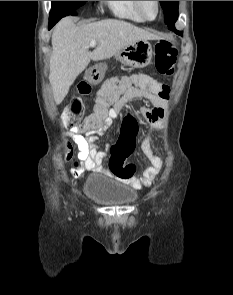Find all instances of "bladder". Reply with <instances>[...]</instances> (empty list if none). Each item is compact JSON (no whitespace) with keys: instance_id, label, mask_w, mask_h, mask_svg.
Instances as JSON below:
<instances>
[{"instance_id":"1","label":"bladder","mask_w":233,"mask_h":295,"mask_svg":"<svg viewBox=\"0 0 233 295\" xmlns=\"http://www.w3.org/2000/svg\"><path fill=\"white\" fill-rule=\"evenodd\" d=\"M83 192L88 199L110 206L130 205L138 197L134 188L100 174L85 181Z\"/></svg>"}]
</instances>
